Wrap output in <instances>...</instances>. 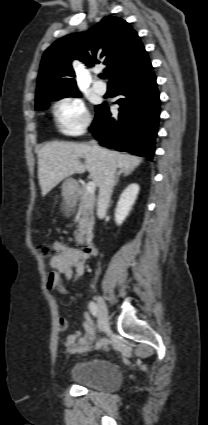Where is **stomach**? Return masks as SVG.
Listing matches in <instances>:
<instances>
[{
  "instance_id": "obj_1",
  "label": "stomach",
  "mask_w": 208,
  "mask_h": 425,
  "mask_svg": "<svg viewBox=\"0 0 208 425\" xmlns=\"http://www.w3.org/2000/svg\"><path fill=\"white\" fill-rule=\"evenodd\" d=\"M77 181L68 178L62 184V195L65 201H71L75 198L77 192Z\"/></svg>"
}]
</instances>
